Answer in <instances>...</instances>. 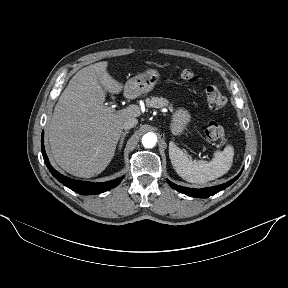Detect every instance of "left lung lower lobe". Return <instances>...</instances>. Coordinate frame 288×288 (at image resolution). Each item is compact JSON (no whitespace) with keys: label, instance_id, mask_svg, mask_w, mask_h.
Segmentation results:
<instances>
[{"label":"left lung lower lobe","instance_id":"left-lung-lower-lobe-1","mask_svg":"<svg viewBox=\"0 0 288 288\" xmlns=\"http://www.w3.org/2000/svg\"><path fill=\"white\" fill-rule=\"evenodd\" d=\"M241 173H242V171L235 178L231 179L230 181H228L224 184L214 186V187H206V188H202V189H193V188L178 186L169 180H167V182L172 188L176 189L178 192L184 193V194L191 196V197L207 198L209 196H212V195L218 193L221 190H224L225 188H227L228 186L233 184L235 182V180H237L239 178Z\"/></svg>","mask_w":288,"mask_h":288}]
</instances>
